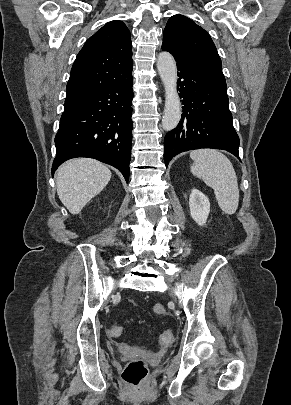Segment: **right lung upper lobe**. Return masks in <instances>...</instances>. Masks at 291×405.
Instances as JSON below:
<instances>
[{
    "label": "right lung upper lobe",
    "instance_id": "cb5924a9",
    "mask_svg": "<svg viewBox=\"0 0 291 405\" xmlns=\"http://www.w3.org/2000/svg\"><path fill=\"white\" fill-rule=\"evenodd\" d=\"M133 67L130 32L114 20L91 36L78 53L66 87L64 105L131 75Z\"/></svg>",
    "mask_w": 291,
    "mask_h": 405
}]
</instances>
